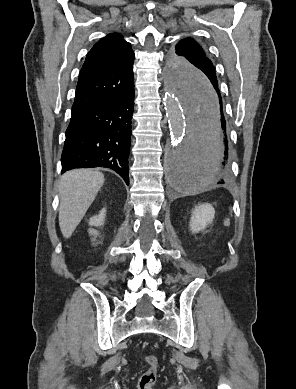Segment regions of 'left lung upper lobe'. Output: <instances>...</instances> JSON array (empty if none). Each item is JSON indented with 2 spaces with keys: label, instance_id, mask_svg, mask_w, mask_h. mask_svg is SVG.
Returning a JSON list of instances; mask_svg holds the SVG:
<instances>
[{
  "label": "left lung upper lobe",
  "instance_id": "left-lung-upper-lobe-1",
  "mask_svg": "<svg viewBox=\"0 0 296 389\" xmlns=\"http://www.w3.org/2000/svg\"><path fill=\"white\" fill-rule=\"evenodd\" d=\"M170 70L182 85L209 78L215 74L213 63L206 50L192 38L181 39L172 51Z\"/></svg>",
  "mask_w": 296,
  "mask_h": 389
}]
</instances>
